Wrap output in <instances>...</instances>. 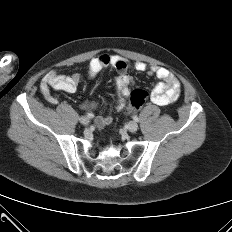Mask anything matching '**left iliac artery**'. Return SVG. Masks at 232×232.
Segmentation results:
<instances>
[{"label": "left iliac artery", "mask_w": 232, "mask_h": 232, "mask_svg": "<svg viewBox=\"0 0 232 232\" xmlns=\"http://www.w3.org/2000/svg\"><path fill=\"white\" fill-rule=\"evenodd\" d=\"M133 120L138 122L139 121V118L137 116H133Z\"/></svg>", "instance_id": "44dca946"}]
</instances>
